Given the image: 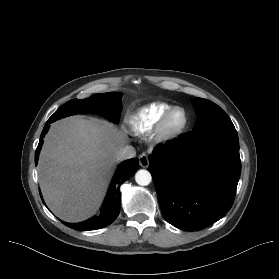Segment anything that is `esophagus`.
<instances>
[{"instance_id":"obj_1","label":"esophagus","mask_w":279,"mask_h":279,"mask_svg":"<svg viewBox=\"0 0 279 279\" xmlns=\"http://www.w3.org/2000/svg\"><path fill=\"white\" fill-rule=\"evenodd\" d=\"M139 163L143 168H147L149 166V158L146 154H141L139 156Z\"/></svg>"}]
</instances>
